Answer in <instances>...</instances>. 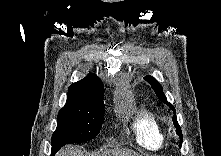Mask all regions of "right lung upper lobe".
Listing matches in <instances>:
<instances>
[{"mask_svg": "<svg viewBox=\"0 0 221 156\" xmlns=\"http://www.w3.org/2000/svg\"><path fill=\"white\" fill-rule=\"evenodd\" d=\"M88 103H104L103 83L95 74H89L68 88L65 105Z\"/></svg>", "mask_w": 221, "mask_h": 156, "instance_id": "obj_1", "label": "right lung upper lobe"}]
</instances>
